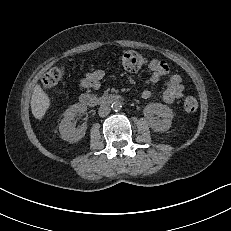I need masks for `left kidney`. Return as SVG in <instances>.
Instances as JSON below:
<instances>
[{"mask_svg": "<svg viewBox=\"0 0 231 231\" xmlns=\"http://www.w3.org/2000/svg\"><path fill=\"white\" fill-rule=\"evenodd\" d=\"M143 113L154 131L165 132L170 129L174 113L168 106L161 103H150L145 106Z\"/></svg>", "mask_w": 231, "mask_h": 231, "instance_id": "obj_1", "label": "left kidney"}]
</instances>
